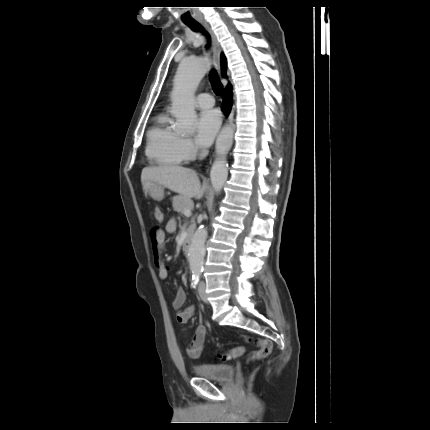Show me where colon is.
<instances>
[{
    "label": "colon",
    "mask_w": 430,
    "mask_h": 430,
    "mask_svg": "<svg viewBox=\"0 0 430 430\" xmlns=\"http://www.w3.org/2000/svg\"><path fill=\"white\" fill-rule=\"evenodd\" d=\"M153 215L157 221L160 222L163 220V213L160 208L155 207L153 209ZM247 340L252 341V339H247ZM254 342H255L256 349L249 354L250 359L260 360L267 357L270 354L271 348H272V343L270 340L257 339ZM243 353H244V349L240 346H237L227 352L219 354L218 358L221 360H231L241 356Z\"/></svg>",
    "instance_id": "colon-1"
}]
</instances>
